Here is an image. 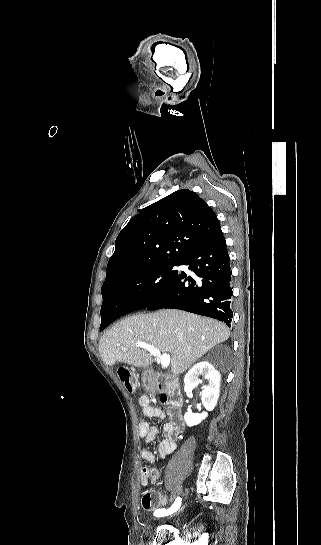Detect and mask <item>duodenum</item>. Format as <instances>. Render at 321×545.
I'll list each match as a JSON object with an SVG mask.
<instances>
[{
    "label": "duodenum",
    "mask_w": 321,
    "mask_h": 545,
    "mask_svg": "<svg viewBox=\"0 0 321 545\" xmlns=\"http://www.w3.org/2000/svg\"><path fill=\"white\" fill-rule=\"evenodd\" d=\"M148 386L160 393L163 403L170 404L175 408L182 406V394L179 386L170 378L154 371H148L145 375Z\"/></svg>",
    "instance_id": "duodenum-1"
}]
</instances>
